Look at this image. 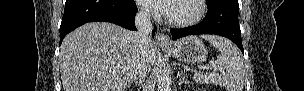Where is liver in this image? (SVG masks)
<instances>
[{"instance_id":"6515ba94","label":"liver","mask_w":304,"mask_h":91,"mask_svg":"<svg viewBox=\"0 0 304 91\" xmlns=\"http://www.w3.org/2000/svg\"><path fill=\"white\" fill-rule=\"evenodd\" d=\"M150 63L157 59L151 41ZM64 91H124L135 76L137 44L133 32L109 22H91L69 33L60 48Z\"/></svg>"}]
</instances>
